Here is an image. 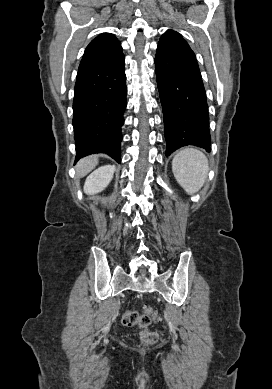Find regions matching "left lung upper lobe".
Returning <instances> with one entry per match:
<instances>
[{
    "label": "left lung upper lobe",
    "instance_id": "1",
    "mask_svg": "<svg viewBox=\"0 0 272 389\" xmlns=\"http://www.w3.org/2000/svg\"><path fill=\"white\" fill-rule=\"evenodd\" d=\"M158 47L171 53L196 58L194 52L182 35L174 30H167L161 37Z\"/></svg>",
    "mask_w": 272,
    "mask_h": 389
}]
</instances>
